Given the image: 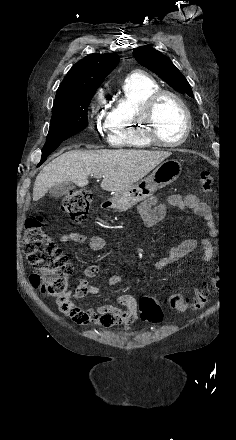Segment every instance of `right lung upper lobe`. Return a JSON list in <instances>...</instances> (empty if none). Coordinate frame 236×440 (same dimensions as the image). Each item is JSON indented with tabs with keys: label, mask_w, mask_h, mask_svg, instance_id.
<instances>
[{
	"label": "right lung upper lobe",
	"mask_w": 236,
	"mask_h": 440,
	"mask_svg": "<svg viewBox=\"0 0 236 440\" xmlns=\"http://www.w3.org/2000/svg\"><path fill=\"white\" fill-rule=\"evenodd\" d=\"M118 62L119 56L113 53L87 55L69 70L56 92L54 104L95 93Z\"/></svg>",
	"instance_id": "cb5924a9"
}]
</instances>
